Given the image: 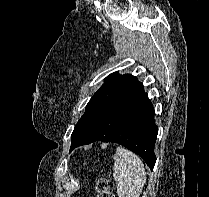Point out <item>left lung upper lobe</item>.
<instances>
[{
	"label": "left lung upper lobe",
	"instance_id": "1",
	"mask_svg": "<svg viewBox=\"0 0 209 197\" xmlns=\"http://www.w3.org/2000/svg\"><path fill=\"white\" fill-rule=\"evenodd\" d=\"M110 74L106 82L92 96L86 106L85 113L79 119L72 133L71 147L82 137L88 128L96 121L102 112L109 107L117 98H119L128 89L138 83L136 77L125 74Z\"/></svg>",
	"mask_w": 209,
	"mask_h": 197
}]
</instances>
